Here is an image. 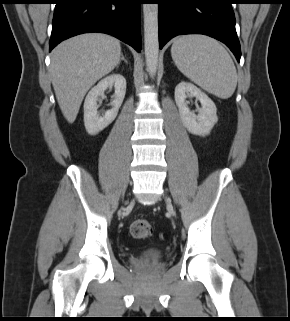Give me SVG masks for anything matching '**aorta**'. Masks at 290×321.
<instances>
[{"label":"aorta","mask_w":290,"mask_h":321,"mask_svg":"<svg viewBox=\"0 0 290 321\" xmlns=\"http://www.w3.org/2000/svg\"><path fill=\"white\" fill-rule=\"evenodd\" d=\"M144 50L147 71L153 77L157 72L158 40V4H144Z\"/></svg>","instance_id":"aorta-1"}]
</instances>
